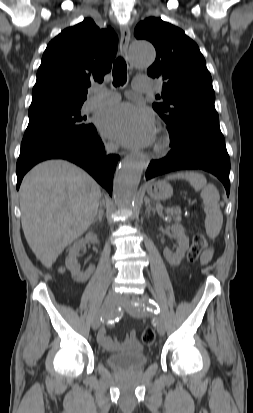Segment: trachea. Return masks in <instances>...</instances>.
Masks as SVG:
<instances>
[{"mask_svg": "<svg viewBox=\"0 0 253 413\" xmlns=\"http://www.w3.org/2000/svg\"><path fill=\"white\" fill-rule=\"evenodd\" d=\"M127 66L125 61L121 58L118 57L116 59V61L113 64V71H112V75H113V85L115 87L118 86H123L126 81H127Z\"/></svg>", "mask_w": 253, "mask_h": 413, "instance_id": "1", "label": "trachea"}]
</instances>
